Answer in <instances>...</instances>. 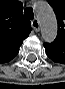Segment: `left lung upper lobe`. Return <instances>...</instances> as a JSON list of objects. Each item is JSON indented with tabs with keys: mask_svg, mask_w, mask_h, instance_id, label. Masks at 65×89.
I'll return each mask as SVG.
<instances>
[{
	"mask_svg": "<svg viewBox=\"0 0 65 89\" xmlns=\"http://www.w3.org/2000/svg\"><path fill=\"white\" fill-rule=\"evenodd\" d=\"M47 1L52 6L58 22V34L55 40L65 43V0Z\"/></svg>",
	"mask_w": 65,
	"mask_h": 89,
	"instance_id": "1",
	"label": "left lung upper lobe"
}]
</instances>
